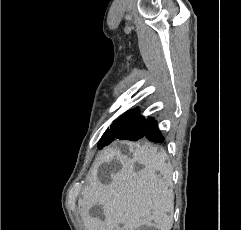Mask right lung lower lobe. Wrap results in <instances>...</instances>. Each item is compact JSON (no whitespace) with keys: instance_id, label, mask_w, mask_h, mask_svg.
Wrapping results in <instances>:
<instances>
[{"instance_id":"1","label":"right lung lower lobe","mask_w":241,"mask_h":230,"mask_svg":"<svg viewBox=\"0 0 241 230\" xmlns=\"http://www.w3.org/2000/svg\"><path fill=\"white\" fill-rule=\"evenodd\" d=\"M137 115V121L129 126V131L136 133L138 137H146L153 142H162L164 137L161 135L159 129L157 128V123L153 118L144 119L139 117V112L136 110H131L130 112L123 115Z\"/></svg>"}]
</instances>
